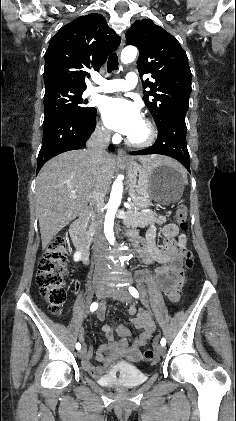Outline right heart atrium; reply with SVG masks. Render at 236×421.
Wrapping results in <instances>:
<instances>
[{
    "label": "right heart atrium",
    "instance_id": "right-heart-atrium-1",
    "mask_svg": "<svg viewBox=\"0 0 236 421\" xmlns=\"http://www.w3.org/2000/svg\"><path fill=\"white\" fill-rule=\"evenodd\" d=\"M96 132L101 136V137H109L110 135V130L105 122V120L103 118H100V120L97 123L96 126Z\"/></svg>",
    "mask_w": 236,
    "mask_h": 421
}]
</instances>
